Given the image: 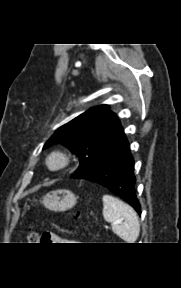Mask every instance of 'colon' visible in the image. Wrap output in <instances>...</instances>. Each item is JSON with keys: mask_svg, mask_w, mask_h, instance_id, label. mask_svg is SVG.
I'll return each mask as SVG.
<instances>
[{"mask_svg": "<svg viewBox=\"0 0 181 288\" xmlns=\"http://www.w3.org/2000/svg\"><path fill=\"white\" fill-rule=\"evenodd\" d=\"M50 242V233H43L40 234L39 232L30 229L28 233V243H40V242Z\"/></svg>", "mask_w": 181, "mask_h": 288, "instance_id": "5ec220e1", "label": "colon"}]
</instances>
